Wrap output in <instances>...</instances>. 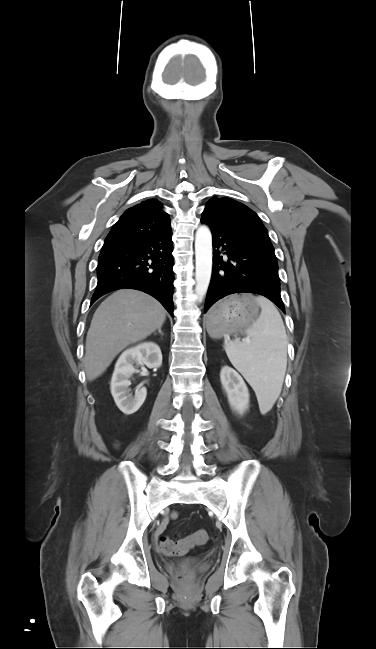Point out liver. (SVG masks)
<instances>
[{
  "label": "liver",
  "instance_id": "6515ba94",
  "mask_svg": "<svg viewBox=\"0 0 376 649\" xmlns=\"http://www.w3.org/2000/svg\"><path fill=\"white\" fill-rule=\"evenodd\" d=\"M165 318L161 303L142 291L120 289L112 293L95 311L87 333V379L99 377L119 352L160 328Z\"/></svg>",
  "mask_w": 376,
  "mask_h": 649
}]
</instances>
